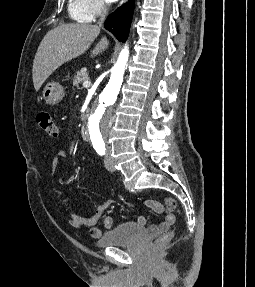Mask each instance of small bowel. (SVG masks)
<instances>
[{
	"label": "small bowel",
	"mask_w": 255,
	"mask_h": 287,
	"mask_svg": "<svg viewBox=\"0 0 255 287\" xmlns=\"http://www.w3.org/2000/svg\"><path fill=\"white\" fill-rule=\"evenodd\" d=\"M57 156L65 157V151H59ZM116 204L113 200H108L105 203L99 205L95 212L91 215L71 213L70 214V223L73 227L82 229V228H90L91 236L94 238H98L102 234V230L98 228L96 225L99 220L104 216V227L106 229H110L112 227V219L109 216H105L106 211L113 207ZM144 204L154 210L157 213H164L165 218L159 225H150L148 231L151 234L157 235L169 230V228L175 222V216L173 214V210L175 209V201L172 198H168L165 200V205L156 201V200H145ZM148 222L147 217L138 216L137 224L141 226H146Z\"/></svg>",
	"instance_id": "1"
}]
</instances>
